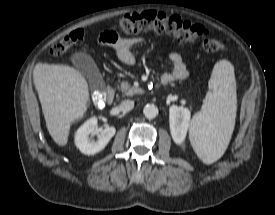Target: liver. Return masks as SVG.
<instances>
[{"instance_id":"liver-1","label":"liver","mask_w":275,"mask_h":215,"mask_svg":"<svg viewBox=\"0 0 275 215\" xmlns=\"http://www.w3.org/2000/svg\"><path fill=\"white\" fill-rule=\"evenodd\" d=\"M33 79L48 132L57 145L65 146L72 123L87 110L88 84L81 73L64 64L38 63Z\"/></svg>"}]
</instances>
